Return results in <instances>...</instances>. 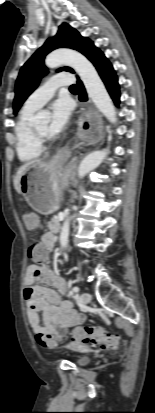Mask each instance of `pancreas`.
Segmentation results:
<instances>
[{
  "mask_svg": "<svg viewBox=\"0 0 155 413\" xmlns=\"http://www.w3.org/2000/svg\"><path fill=\"white\" fill-rule=\"evenodd\" d=\"M49 228L54 232L57 233L58 228H59V218L57 216H54L49 223Z\"/></svg>",
  "mask_w": 155,
  "mask_h": 413,
  "instance_id": "1",
  "label": "pancreas"
}]
</instances>
